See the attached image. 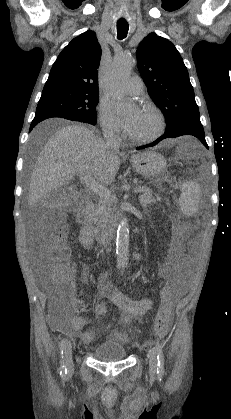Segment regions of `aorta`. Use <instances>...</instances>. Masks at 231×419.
Listing matches in <instances>:
<instances>
[{"mask_svg": "<svg viewBox=\"0 0 231 419\" xmlns=\"http://www.w3.org/2000/svg\"><path fill=\"white\" fill-rule=\"evenodd\" d=\"M135 60L128 54L117 55L107 73V89L114 99L119 111L129 107L125 96V82L129 78ZM116 254L119 266H127L129 261V225L122 219L117 229Z\"/></svg>", "mask_w": 231, "mask_h": 419, "instance_id": "obj_1", "label": "aorta"}]
</instances>
